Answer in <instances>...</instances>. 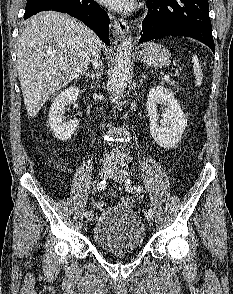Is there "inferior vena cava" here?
I'll list each match as a JSON object with an SVG mask.
<instances>
[{
	"mask_svg": "<svg viewBox=\"0 0 233 294\" xmlns=\"http://www.w3.org/2000/svg\"><path fill=\"white\" fill-rule=\"evenodd\" d=\"M92 65H93L95 68H97V69L101 68V66H102V62H101V60H100V56H94V57L92 58ZM103 163H104L105 165H109V164L111 163V157H110V156L108 155V153H106V152H105V155H104Z\"/></svg>",
	"mask_w": 233,
	"mask_h": 294,
	"instance_id": "inferior-vena-cava-1",
	"label": "inferior vena cava"
}]
</instances>
